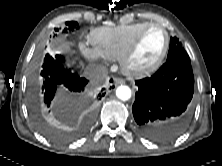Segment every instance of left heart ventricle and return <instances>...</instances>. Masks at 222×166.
<instances>
[{
	"instance_id": "b2bd125f",
	"label": "left heart ventricle",
	"mask_w": 222,
	"mask_h": 166,
	"mask_svg": "<svg viewBox=\"0 0 222 166\" xmlns=\"http://www.w3.org/2000/svg\"><path fill=\"white\" fill-rule=\"evenodd\" d=\"M165 44V34L162 29L154 27L146 31L136 50L130 58L133 68H146L160 56Z\"/></svg>"
}]
</instances>
